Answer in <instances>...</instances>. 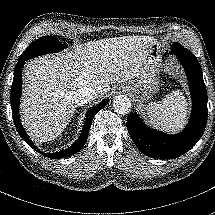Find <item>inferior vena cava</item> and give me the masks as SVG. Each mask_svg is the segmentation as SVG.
I'll return each mask as SVG.
<instances>
[{
	"mask_svg": "<svg viewBox=\"0 0 215 215\" xmlns=\"http://www.w3.org/2000/svg\"><path fill=\"white\" fill-rule=\"evenodd\" d=\"M99 96V93L93 88L81 87L75 91L74 100L78 105H85L88 101Z\"/></svg>",
	"mask_w": 215,
	"mask_h": 215,
	"instance_id": "602c4592",
	"label": "inferior vena cava"
}]
</instances>
